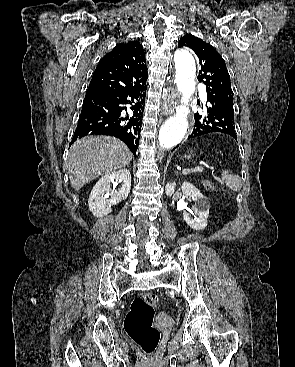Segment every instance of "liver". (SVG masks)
<instances>
[{
  "label": "liver",
  "instance_id": "obj_1",
  "mask_svg": "<svg viewBox=\"0 0 295 367\" xmlns=\"http://www.w3.org/2000/svg\"><path fill=\"white\" fill-rule=\"evenodd\" d=\"M131 159L129 148L118 139L84 137L69 150L66 168L71 186L78 191L89 181L126 167Z\"/></svg>",
  "mask_w": 295,
  "mask_h": 367
}]
</instances>
